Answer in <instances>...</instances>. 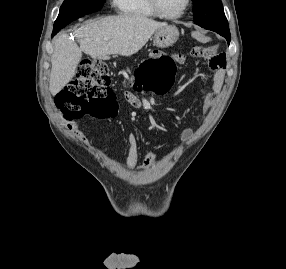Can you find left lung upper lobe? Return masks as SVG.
<instances>
[{
	"label": "left lung upper lobe",
	"mask_w": 286,
	"mask_h": 269,
	"mask_svg": "<svg viewBox=\"0 0 286 269\" xmlns=\"http://www.w3.org/2000/svg\"><path fill=\"white\" fill-rule=\"evenodd\" d=\"M194 23L212 31L229 30L221 0H192Z\"/></svg>",
	"instance_id": "left-lung-upper-lobe-1"
}]
</instances>
